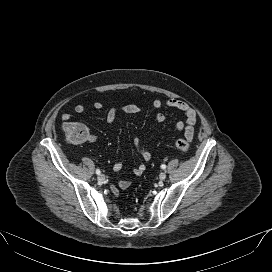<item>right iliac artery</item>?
Masks as SVG:
<instances>
[{"mask_svg":"<svg viewBox=\"0 0 272 272\" xmlns=\"http://www.w3.org/2000/svg\"><path fill=\"white\" fill-rule=\"evenodd\" d=\"M100 173H101L100 170H99V169H96V174H97V175H100Z\"/></svg>","mask_w":272,"mask_h":272,"instance_id":"82829eb1","label":"right iliac artery"}]
</instances>
